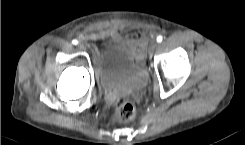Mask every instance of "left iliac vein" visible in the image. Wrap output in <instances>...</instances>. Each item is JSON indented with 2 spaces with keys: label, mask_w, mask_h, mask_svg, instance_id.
<instances>
[{
  "label": "left iliac vein",
  "mask_w": 245,
  "mask_h": 145,
  "mask_svg": "<svg viewBox=\"0 0 245 145\" xmlns=\"http://www.w3.org/2000/svg\"><path fill=\"white\" fill-rule=\"evenodd\" d=\"M156 47H157L156 41H151V43H150V45H149V48H148V55H149V56H152V55H153V53H154Z\"/></svg>",
  "instance_id": "4c4485c4"
}]
</instances>
